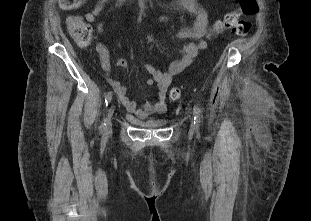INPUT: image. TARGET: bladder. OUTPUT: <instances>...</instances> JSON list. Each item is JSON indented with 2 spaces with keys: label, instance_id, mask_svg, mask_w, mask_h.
<instances>
[{
  "label": "bladder",
  "instance_id": "31cf9c89",
  "mask_svg": "<svg viewBox=\"0 0 311 221\" xmlns=\"http://www.w3.org/2000/svg\"><path fill=\"white\" fill-rule=\"evenodd\" d=\"M141 126L147 128H160L168 124L167 118L151 117L147 120L137 121Z\"/></svg>",
  "mask_w": 311,
  "mask_h": 221
}]
</instances>
